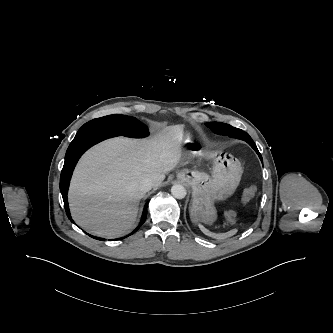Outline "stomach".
<instances>
[{"mask_svg": "<svg viewBox=\"0 0 333 333\" xmlns=\"http://www.w3.org/2000/svg\"><path fill=\"white\" fill-rule=\"evenodd\" d=\"M192 155L198 159L206 158L211 173L184 168L177 173V179L192 188L191 220L212 224L217 218L214 201L224 200L234 193L241 180L242 166L237 158L223 151L207 152L201 149L194 150Z\"/></svg>", "mask_w": 333, "mask_h": 333, "instance_id": "stomach-1", "label": "stomach"}]
</instances>
